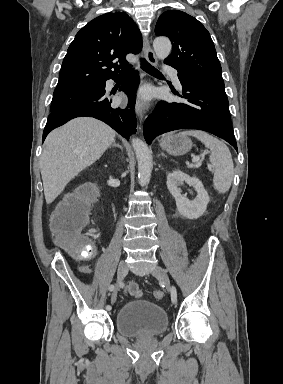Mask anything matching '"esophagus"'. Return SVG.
Segmentation results:
<instances>
[{
    "label": "esophagus",
    "mask_w": 283,
    "mask_h": 384,
    "mask_svg": "<svg viewBox=\"0 0 283 384\" xmlns=\"http://www.w3.org/2000/svg\"><path fill=\"white\" fill-rule=\"evenodd\" d=\"M143 52H144L146 60L148 62H150V64H152L154 66H158L156 56L150 47L148 37L144 38ZM146 108H147L146 102L142 99H138L136 102V105H135V110H136V113H137L140 121H142V119H143Z\"/></svg>",
    "instance_id": "esophagus-1"
}]
</instances>
